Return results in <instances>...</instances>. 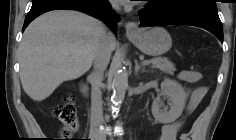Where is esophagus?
Returning <instances> with one entry per match:
<instances>
[{"instance_id":"34e87169","label":"esophagus","mask_w":236,"mask_h":140,"mask_svg":"<svg viewBox=\"0 0 236 140\" xmlns=\"http://www.w3.org/2000/svg\"><path fill=\"white\" fill-rule=\"evenodd\" d=\"M138 25L133 22V21H129L127 24H126V33L128 35H133V34H136L138 32Z\"/></svg>"}]
</instances>
